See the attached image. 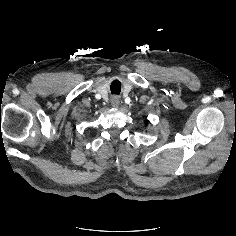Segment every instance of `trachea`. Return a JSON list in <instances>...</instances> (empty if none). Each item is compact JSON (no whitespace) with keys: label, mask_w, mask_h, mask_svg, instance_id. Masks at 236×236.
<instances>
[{"label":"trachea","mask_w":236,"mask_h":236,"mask_svg":"<svg viewBox=\"0 0 236 236\" xmlns=\"http://www.w3.org/2000/svg\"><path fill=\"white\" fill-rule=\"evenodd\" d=\"M110 89H111V92L113 94H120V91H121V84L118 80H114L112 83H111V86H110Z\"/></svg>","instance_id":"3493384b"}]
</instances>
